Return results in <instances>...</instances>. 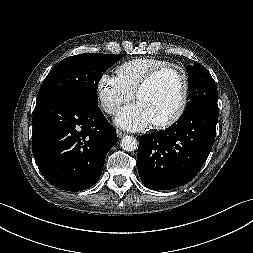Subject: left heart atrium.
I'll list each match as a JSON object with an SVG mask.
<instances>
[{
    "label": "left heart atrium",
    "mask_w": 253,
    "mask_h": 253,
    "mask_svg": "<svg viewBox=\"0 0 253 253\" xmlns=\"http://www.w3.org/2000/svg\"><path fill=\"white\" fill-rule=\"evenodd\" d=\"M115 122L124 129L135 131L150 125L152 119L146 108L142 104L136 102L124 107L118 113Z\"/></svg>",
    "instance_id": "obj_1"
}]
</instances>
